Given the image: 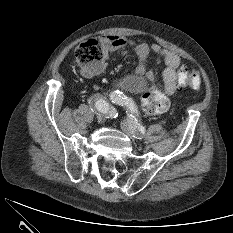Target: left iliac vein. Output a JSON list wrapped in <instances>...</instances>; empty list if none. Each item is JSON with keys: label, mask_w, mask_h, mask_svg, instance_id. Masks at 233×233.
Wrapping results in <instances>:
<instances>
[{"label": "left iliac vein", "mask_w": 233, "mask_h": 233, "mask_svg": "<svg viewBox=\"0 0 233 233\" xmlns=\"http://www.w3.org/2000/svg\"><path fill=\"white\" fill-rule=\"evenodd\" d=\"M123 131L132 139L138 140L142 138V133L135 128L130 119H127L122 124Z\"/></svg>", "instance_id": "left-iliac-vein-1"}]
</instances>
